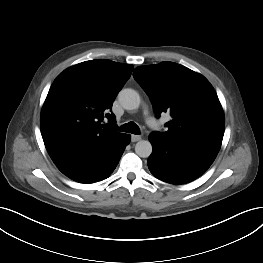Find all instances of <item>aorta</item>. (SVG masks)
<instances>
[{
  "mask_svg": "<svg viewBox=\"0 0 263 263\" xmlns=\"http://www.w3.org/2000/svg\"><path fill=\"white\" fill-rule=\"evenodd\" d=\"M121 105L127 110L137 109L140 105V96L133 89H122L118 94ZM152 145L147 140H140L135 145V153L141 158H148L152 153Z\"/></svg>",
  "mask_w": 263,
  "mask_h": 263,
  "instance_id": "762f6f07",
  "label": "aorta"
}]
</instances>
